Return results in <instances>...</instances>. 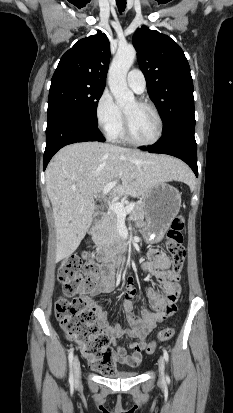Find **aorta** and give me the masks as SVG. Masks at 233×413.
<instances>
[{
    "instance_id": "1",
    "label": "aorta",
    "mask_w": 233,
    "mask_h": 413,
    "mask_svg": "<svg viewBox=\"0 0 233 413\" xmlns=\"http://www.w3.org/2000/svg\"><path fill=\"white\" fill-rule=\"evenodd\" d=\"M136 58V50L132 46L119 48L111 63L108 73V84L117 105L124 107L134 103L133 92L127 86V73Z\"/></svg>"
}]
</instances>
